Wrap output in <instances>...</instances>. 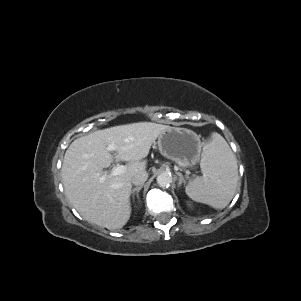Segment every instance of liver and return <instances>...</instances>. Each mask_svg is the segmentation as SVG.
<instances>
[{
	"label": "liver",
	"instance_id": "obj_1",
	"mask_svg": "<svg viewBox=\"0 0 301 301\" xmlns=\"http://www.w3.org/2000/svg\"><path fill=\"white\" fill-rule=\"evenodd\" d=\"M168 126L139 122L99 130L74 140L66 150L61 169L65 193L87 221L120 229L131 214L132 177L145 170L150 148ZM116 147L115 157L107 150ZM128 162L125 172L104 174L113 162Z\"/></svg>",
	"mask_w": 301,
	"mask_h": 301
}]
</instances>
